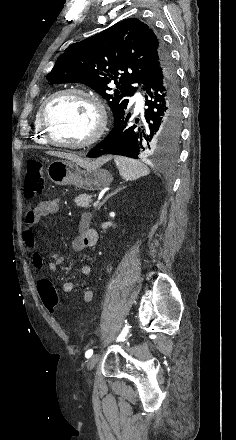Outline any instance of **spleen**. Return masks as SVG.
<instances>
[{"label":"spleen","mask_w":236,"mask_h":440,"mask_svg":"<svg viewBox=\"0 0 236 440\" xmlns=\"http://www.w3.org/2000/svg\"><path fill=\"white\" fill-rule=\"evenodd\" d=\"M114 161L121 177L126 181H133L150 173L149 168L139 160L117 156Z\"/></svg>","instance_id":"spleen-1"}]
</instances>
